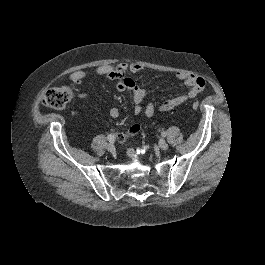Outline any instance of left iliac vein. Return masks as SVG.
<instances>
[{
    "label": "left iliac vein",
    "mask_w": 265,
    "mask_h": 265,
    "mask_svg": "<svg viewBox=\"0 0 265 265\" xmlns=\"http://www.w3.org/2000/svg\"><path fill=\"white\" fill-rule=\"evenodd\" d=\"M159 146H160V149L163 151H166L169 148L168 144L165 142H161Z\"/></svg>",
    "instance_id": "obj_1"
}]
</instances>
